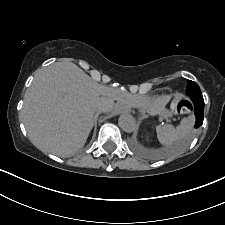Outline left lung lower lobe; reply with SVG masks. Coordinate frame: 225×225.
I'll return each instance as SVG.
<instances>
[{"mask_svg":"<svg viewBox=\"0 0 225 225\" xmlns=\"http://www.w3.org/2000/svg\"><path fill=\"white\" fill-rule=\"evenodd\" d=\"M192 105H189V108L194 109L195 116H196V123L195 128L200 127L203 124V118H204V100L203 98H191Z\"/></svg>","mask_w":225,"mask_h":225,"instance_id":"1","label":"left lung lower lobe"}]
</instances>
